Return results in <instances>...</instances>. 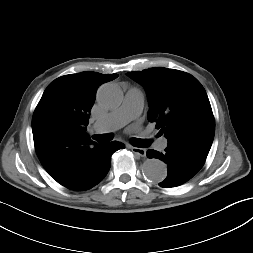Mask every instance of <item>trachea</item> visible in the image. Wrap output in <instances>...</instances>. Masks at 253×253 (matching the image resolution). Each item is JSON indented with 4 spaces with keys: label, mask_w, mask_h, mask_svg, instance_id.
Masks as SVG:
<instances>
[{
    "label": "trachea",
    "mask_w": 253,
    "mask_h": 253,
    "mask_svg": "<svg viewBox=\"0 0 253 253\" xmlns=\"http://www.w3.org/2000/svg\"><path fill=\"white\" fill-rule=\"evenodd\" d=\"M113 138V134H101V135H94L93 139L97 140L99 143H106L111 141ZM150 140L146 139H134L133 144L136 147H148L150 145Z\"/></svg>",
    "instance_id": "1"
}]
</instances>
